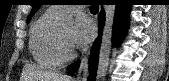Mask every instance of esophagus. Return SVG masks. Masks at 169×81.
Listing matches in <instances>:
<instances>
[{"instance_id":"34e87169","label":"esophagus","mask_w":169,"mask_h":81,"mask_svg":"<svg viewBox=\"0 0 169 81\" xmlns=\"http://www.w3.org/2000/svg\"><path fill=\"white\" fill-rule=\"evenodd\" d=\"M90 56V50H88L85 55L83 56L81 63H80V68L77 74V81H86L88 75H87V71H88V65H87V61L88 58Z\"/></svg>"}]
</instances>
